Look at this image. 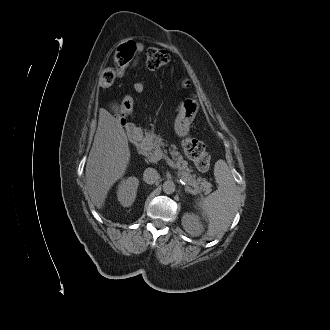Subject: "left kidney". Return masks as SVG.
I'll return each mask as SVG.
<instances>
[{
	"label": "left kidney",
	"mask_w": 330,
	"mask_h": 330,
	"mask_svg": "<svg viewBox=\"0 0 330 330\" xmlns=\"http://www.w3.org/2000/svg\"><path fill=\"white\" fill-rule=\"evenodd\" d=\"M182 226L187 233L198 236L203 232V225L195 214L185 213L182 217Z\"/></svg>",
	"instance_id": "1"
}]
</instances>
